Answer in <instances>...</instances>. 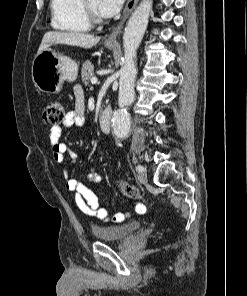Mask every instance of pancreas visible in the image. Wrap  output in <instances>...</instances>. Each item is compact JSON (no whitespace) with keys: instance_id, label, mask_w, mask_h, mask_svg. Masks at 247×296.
Segmentation results:
<instances>
[{"instance_id":"pancreas-1","label":"pancreas","mask_w":247,"mask_h":296,"mask_svg":"<svg viewBox=\"0 0 247 296\" xmlns=\"http://www.w3.org/2000/svg\"><path fill=\"white\" fill-rule=\"evenodd\" d=\"M94 77V66L90 62H85L81 69L82 82L87 86Z\"/></svg>"}]
</instances>
